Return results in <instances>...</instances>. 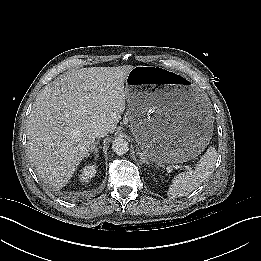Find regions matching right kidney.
I'll use <instances>...</instances> for the list:
<instances>
[{"label":"right kidney","mask_w":261,"mask_h":261,"mask_svg":"<svg viewBox=\"0 0 261 261\" xmlns=\"http://www.w3.org/2000/svg\"><path fill=\"white\" fill-rule=\"evenodd\" d=\"M97 172V166L95 164L85 166L79 175V180L81 182H88L91 178L95 176Z\"/></svg>","instance_id":"right-kidney-1"}]
</instances>
